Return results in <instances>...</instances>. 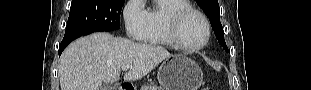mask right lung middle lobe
<instances>
[{"label":"right lung middle lobe","mask_w":311,"mask_h":90,"mask_svg":"<svg viewBox=\"0 0 311 90\" xmlns=\"http://www.w3.org/2000/svg\"><path fill=\"white\" fill-rule=\"evenodd\" d=\"M125 0H72L63 43L98 31L120 28V12Z\"/></svg>","instance_id":"1"}]
</instances>
